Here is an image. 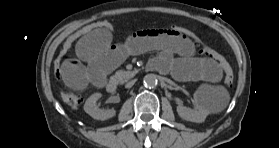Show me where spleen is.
<instances>
[{
  "label": "spleen",
  "instance_id": "spleen-1",
  "mask_svg": "<svg viewBox=\"0 0 279 148\" xmlns=\"http://www.w3.org/2000/svg\"><path fill=\"white\" fill-rule=\"evenodd\" d=\"M206 106L213 113L223 111L229 103V95L224 87H201L199 90Z\"/></svg>",
  "mask_w": 279,
  "mask_h": 148
}]
</instances>
